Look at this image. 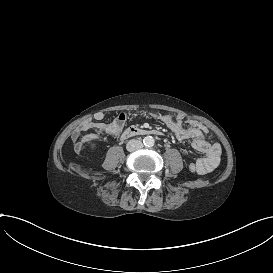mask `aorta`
I'll return each instance as SVG.
<instances>
[{
  "instance_id": "aorta-1",
  "label": "aorta",
  "mask_w": 273,
  "mask_h": 273,
  "mask_svg": "<svg viewBox=\"0 0 273 273\" xmlns=\"http://www.w3.org/2000/svg\"><path fill=\"white\" fill-rule=\"evenodd\" d=\"M154 138L152 136H147L144 138V143L147 146H153L154 145Z\"/></svg>"
}]
</instances>
